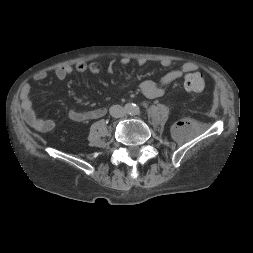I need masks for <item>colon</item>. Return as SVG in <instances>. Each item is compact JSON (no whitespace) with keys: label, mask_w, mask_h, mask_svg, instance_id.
<instances>
[{"label":"colon","mask_w":253,"mask_h":253,"mask_svg":"<svg viewBox=\"0 0 253 253\" xmlns=\"http://www.w3.org/2000/svg\"><path fill=\"white\" fill-rule=\"evenodd\" d=\"M100 66L99 62L94 63V67ZM182 86L188 91L201 92L206 88V80L199 72L187 73L183 78Z\"/></svg>","instance_id":"5ec220e1"}]
</instances>
